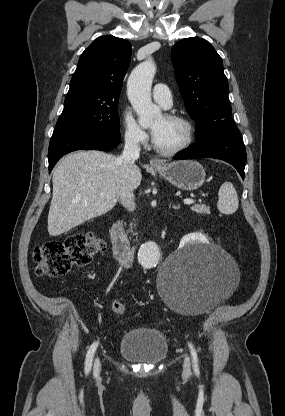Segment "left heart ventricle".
<instances>
[{
	"label": "left heart ventricle",
	"mask_w": 285,
	"mask_h": 416,
	"mask_svg": "<svg viewBox=\"0 0 285 416\" xmlns=\"http://www.w3.org/2000/svg\"><path fill=\"white\" fill-rule=\"evenodd\" d=\"M151 128H159V135L155 140L156 144L163 149H172L178 147L185 140V130L183 126L163 115L154 119Z\"/></svg>",
	"instance_id": "b2bd125f"
}]
</instances>
